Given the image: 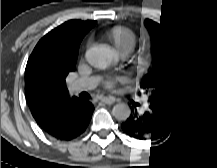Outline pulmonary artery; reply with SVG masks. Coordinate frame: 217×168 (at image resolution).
Wrapping results in <instances>:
<instances>
[{"label":"pulmonary artery","mask_w":217,"mask_h":168,"mask_svg":"<svg viewBox=\"0 0 217 168\" xmlns=\"http://www.w3.org/2000/svg\"><path fill=\"white\" fill-rule=\"evenodd\" d=\"M94 82H95V78H94V77H88V78H86V79L82 82V85L88 86V85L93 84ZM77 85H79V84H77Z\"/></svg>","instance_id":"1"}]
</instances>
